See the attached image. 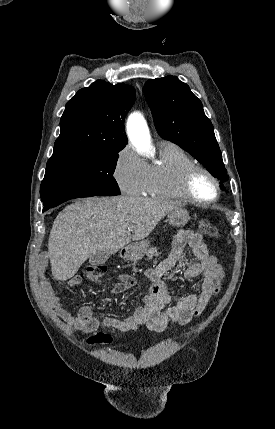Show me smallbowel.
I'll list each match as a JSON object with an SVG mask.
<instances>
[{
	"instance_id": "1",
	"label": "small bowel",
	"mask_w": 275,
	"mask_h": 429,
	"mask_svg": "<svg viewBox=\"0 0 275 429\" xmlns=\"http://www.w3.org/2000/svg\"><path fill=\"white\" fill-rule=\"evenodd\" d=\"M186 247L191 248L197 262L185 268L183 275L186 279L201 277L200 290L198 293L178 296L175 304L172 305V296L167 291L163 276L183 260ZM145 275L151 281L149 294L143 298L141 306L122 319L105 317L100 320L94 316L91 305L82 306L77 315L73 316L49 285H45L42 292L46 304L54 313L68 326L82 333H92L100 327L119 332L136 331L143 324L150 330L162 332L167 329L169 322L186 325L194 317L199 316L210 300L219 293L224 271L216 257L209 253L200 233L182 230L176 235L169 256L157 267L146 270ZM68 283L73 287L78 286L82 283V277L74 275ZM134 283L131 276L121 275L113 292L122 293L131 288Z\"/></svg>"
}]
</instances>
